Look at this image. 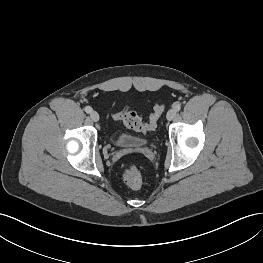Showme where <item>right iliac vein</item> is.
Wrapping results in <instances>:
<instances>
[{
	"instance_id": "obj_1",
	"label": "right iliac vein",
	"mask_w": 263,
	"mask_h": 263,
	"mask_svg": "<svg viewBox=\"0 0 263 263\" xmlns=\"http://www.w3.org/2000/svg\"><path fill=\"white\" fill-rule=\"evenodd\" d=\"M90 118H91L94 122H97V121H99L100 116H99V114H98L96 111H92V112L90 113Z\"/></svg>"
}]
</instances>
